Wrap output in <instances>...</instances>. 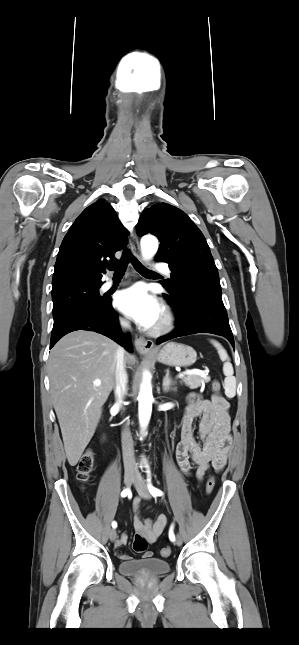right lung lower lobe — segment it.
I'll return each instance as SVG.
<instances>
[{
    "mask_svg": "<svg viewBox=\"0 0 299 645\" xmlns=\"http://www.w3.org/2000/svg\"><path fill=\"white\" fill-rule=\"evenodd\" d=\"M76 330L95 331L105 335L128 351H132L130 335L121 333L118 317L111 306V299L100 307L81 309L53 325L50 348L64 335Z\"/></svg>",
    "mask_w": 299,
    "mask_h": 645,
    "instance_id": "right-lung-lower-lobe-1",
    "label": "right lung lower lobe"
}]
</instances>
